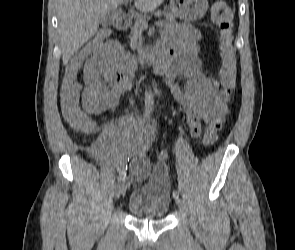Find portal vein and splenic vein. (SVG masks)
Listing matches in <instances>:
<instances>
[{"label": "portal vein and splenic vein", "mask_w": 295, "mask_h": 250, "mask_svg": "<svg viewBox=\"0 0 295 250\" xmlns=\"http://www.w3.org/2000/svg\"><path fill=\"white\" fill-rule=\"evenodd\" d=\"M131 1H132V0H125L126 3H129V2L131 3ZM163 24H164L163 21H156V22H155V25L158 26V27L162 26ZM141 25H142L143 27H145V28L148 27V23L145 22V21H142V22H141Z\"/></svg>", "instance_id": "18ae733b"}]
</instances>
